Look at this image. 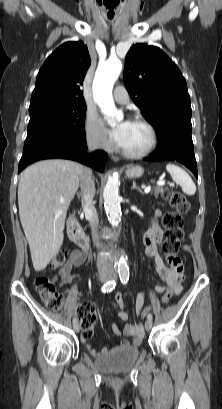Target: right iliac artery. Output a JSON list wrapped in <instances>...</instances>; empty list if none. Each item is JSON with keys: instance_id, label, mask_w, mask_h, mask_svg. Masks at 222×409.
I'll return each instance as SVG.
<instances>
[{"instance_id": "right-iliac-artery-1", "label": "right iliac artery", "mask_w": 222, "mask_h": 409, "mask_svg": "<svg viewBox=\"0 0 222 409\" xmlns=\"http://www.w3.org/2000/svg\"><path fill=\"white\" fill-rule=\"evenodd\" d=\"M115 286H116V282L114 280L113 281H108L102 286L101 291L103 293L111 292L115 288ZM73 323H77V318L76 317L73 318Z\"/></svg>"}]
</instances>
